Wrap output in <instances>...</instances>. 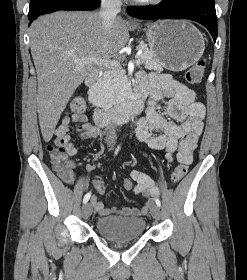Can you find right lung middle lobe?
<instances>
[{"instance_id":"obj_1","label":"right lung middle lobe","mask_w":247,"mask_h":280,"mask_svg":"<svg viewBox=\"0 0 247 280\" xmlns=\"http://www.w3.org/2000/svg\"><path fill=\"white\" fill-rule=\"evenodd\" d=\"M42 0H31L30 8L37 6Z\"/></svg>"}]
</instances>
